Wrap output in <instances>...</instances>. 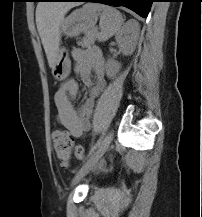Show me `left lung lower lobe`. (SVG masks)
<instances>
[{
    "mask_svg": "<svg viewBox=\"0 0 202 217\" xmlns=\"http://www.w3.org/2000/svg\"><path fill=\"white\" fill-rule=\"evenodd\" d=\"M55 1H82L103 3L110 6H125L136 12L141 17H147L150 12L152 2L155 0H55Z\"/></svg>",
    "mask_w": 202,
    "mask_h": 217,
    "instance_id": "0a47b994",
    "label": "left lung lower lobe"
}]
</instances>
